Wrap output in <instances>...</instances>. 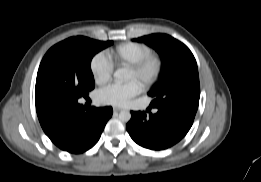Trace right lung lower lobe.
<instances>
[{"instance_id": "1", "label": "right lung lower lobe", "mask_w": 261, "mask_h": 182, "mask_svg": "<svg viewBox=\"0 0 261 182\" xmlns=\"http://www.w3.org/2000/svg\"><path fill=\"white\" fill-rule=\"evenodd\" d=\"M45 134L60 149L78 154L93 147L112 116L111 107L85 111L75 102L57 101L36 108Z\"/></svg>"}]
</instances>
